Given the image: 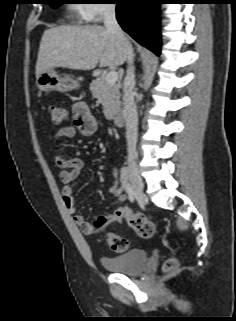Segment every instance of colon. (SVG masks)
<instances>
[{"mask_svg": "<svg viewBox=\"0 0 236 321\" xmlns=\"http://www.w3.org/2000/svg\"><path fill=\"white\" fill-rule=\"evenodd\" d=\"M49 113L55 125L60 124L64 120V110L56 104L49 105ZM122 219H125L128 226L141 238H151L156 233V227L153 221L145 215L125 207L117 209L113 215L101 216L92 224L90 234L101 230L112 221H120ZM106 241L109 248L115 252H125L129 246L128 241L115 232H109ZM178 266L176 259H169L164 264V271L174 273L178 269Z\"/></svg>", "mask_w": 236, "mask_h": 321, "instance_id": "1", "label": "colon"}]
</instances>
